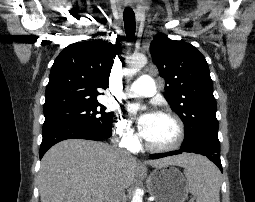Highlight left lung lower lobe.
I'll return each instance as SVG.
<instances>
[{
  "label": "left lung lower lobe",
  "instance_id": "0a47b994",
  "mask_svg": "<svg viewBox=\"0 0 255 202\" xmlns=\"http://www.w3.org/2000/svg\"><path fill=\"white\" fill-rule=\"evenodd\" d=\"M182 152H192L204 155L208 157L213 163H215L219 169L222 171V165L220 160V144L217 143H206L196 146H182L181 149L170 151L167 153H160L150 155L151 159L162 158L170 155L181 154Z\"/></svg>",
  "mask_w": 255,
  "mask_h": 202
}]
</instances>
